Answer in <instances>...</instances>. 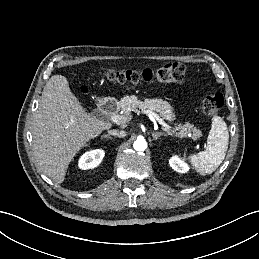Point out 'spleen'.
Returning <instances> with one entry per match:
<instances>
[{"label":"spleen","mask_w":259,"mask_h":259,"mask_svg":"<svg viewBox=\"0 0 259 259\" xmlns=\"http://www.w3.org/2000/svg\"><path fill=\"white\" fill-rule=\"evenodd\" d=\"M229 133L227 124L220 116L212 118L211 130L204 151L189 156L191 164L200 175L213 173L225 158L228 149Z\"/></svg>","instance_id":"spleen-1"}]
</instances>
